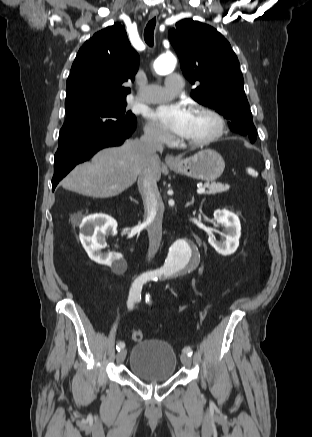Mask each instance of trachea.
<instances>
[{
	"instance_id": "3493384b",
	"label": "trachea",
	"mask_w": 312,
	"mask_h": 437,
	"mask_svg": "<svg viewBox=\"0 0 312 437\" xmlns=\"http://www.w3.org/2000/svg\"><path fill=\"white\" fill-rule=\"evenodd\" d=\"M155 25H156V18H153L148 22V24L146 25L145 31H144L145 42L151 47L154 44L153 35H154Z\"/></svg>"
}]
</instances>
